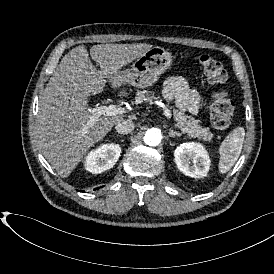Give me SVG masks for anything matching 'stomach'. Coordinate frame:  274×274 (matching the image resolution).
I'll return each mask as SVG.
<instances>
[{
    "label": "stomach",
    "mask_w": 274,
    "mask_h": 274,
    "mask_svg": "<svg viewBox=\"0 0 274 274\" xmlns=\"http://www.w3.org/2000/svg\"><path fill=\"white\" fill-rule=\"evenodd\" d=\"M170 51L160 46L152 47L144 55L137 58L129 71L121 73V82L144 89L153 86L159 77L173 66Z\"/></svg>",
    "instance_id": "obj_1"
}]
</instances>
